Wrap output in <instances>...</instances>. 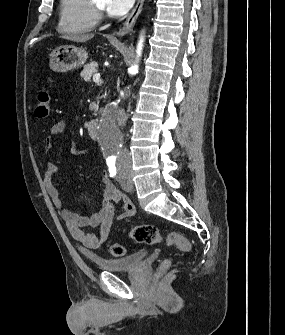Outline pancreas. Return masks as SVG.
Listing matches in <instances>:
<instances>
[{
    "label": "pancreas",
    "mask_w": 285,
    "mask_h": 335,
    "mask_svg": "<svg viewBox=\"0 0 285 335\" xmlns=\"http://www.w3.org/2000/svg\"><path fill=\"white\" fill-rule=\"evenodd\" d=\"M98 66L97 64H87L84 66V70L80 71L79 76L80 78H84L83 82L85 84H92L94 74H97Z\"/></svg>",
    "instance_id": "obj_1"
}]
</instances>
